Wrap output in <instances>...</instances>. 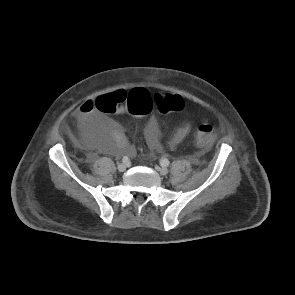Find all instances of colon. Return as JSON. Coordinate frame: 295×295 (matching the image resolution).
<instances>
[{"instance_id": "colon-1", "label": "colon", "mask_w": 295, "mask_h": 295, "mask_svg": "<svg viewBox=\"0 0 295 295\" xmlns=\"http://www.w3.org/2000/svg\"><path fill=\"white\" fill-rule=\"evenodd\" d=\"M95 107L101 112L115 113L119 110H128V119L136 127L147 125L151 119V112L158 109L162 113L182 110L185 106L184 99L179 95L159 93L152 95L143 89L131 92L116 91L103 95L94 102ZM215 136V128L210 123L199 125L195 141L200 146H208Z\"/></svg>"}]
</instances>
